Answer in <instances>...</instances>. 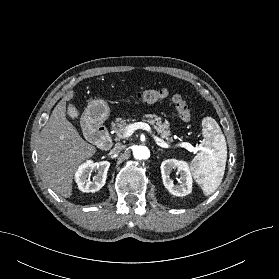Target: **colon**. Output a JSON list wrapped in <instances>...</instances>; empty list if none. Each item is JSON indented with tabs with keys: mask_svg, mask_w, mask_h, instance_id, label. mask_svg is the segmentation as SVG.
<instances>
[{
	"mask_svg": "<svg viewBox=\"0 0 279 279\" xmlns=\"http://www.w3.org/2000/svg\"><path fill=\"white\" fill-rule=\"evenodd\" d=\"M170 97L172 104L174 105L176 111L180 118L185 121L189 122L192 120L191 111L184 101V99L178 95H169V92L166 89H149L141 91L137 94V100L141 103H153L156 101H160Z\"/></svg>",
	"mask_w": 279,
	"mask_h": 279,
	"instance_id": "1",
	"label": "colon"
}]
</instances>
